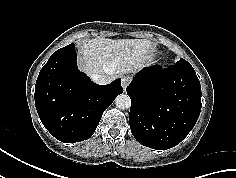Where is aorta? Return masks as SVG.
<instances>
[{
	"mask_svg": "<svg viewBox=\"0 0 236 178\" xmlns=\"http://www.w3.org/2000/svg\"><path fill=\"white\" fill-rule=\"evenodd\" d=\"M115 104L120 110L128 109L131 106V99L127 94H120L116 97Z\"/></svg>",
	"mask_w": 236,
	"mask_h": 178,
	"instance_id": "1",
	"label": "aorta"
}]
</instances>
